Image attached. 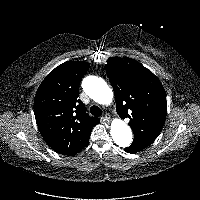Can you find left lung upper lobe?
<instances>
[{
	"instance_id": "left-lung-upper-lobe-1",
	"label": "left lung upper lobe",
	"mask_w": 200,
	"mask_h": 200,
	"mask_svg": "<svg viewBox=\"0 0 200 200\" xmlns=\"http://www.w3.org/2000/svg\"><path fill=\"white\" fill-rule=\"evenodd\" d=\"M106 72L119 116L130 119L134 133L131 146L148 147L161 132L166 118V94L161 82L150 70L128 57H110Z\"/></svg>"
}]
</instances>
